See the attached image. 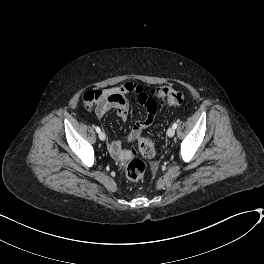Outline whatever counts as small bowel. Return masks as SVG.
Instances as JSON below:
<instances>
[{
  "mask_svg": "<svg viewBox=\"0 0 264 264\" xmlns=\"http://www.w3.org/2000/svg\"><path fill=\"white\" fill-rule=\"evenodd\" d=\"M144 92V87L134 81L126 82L122 85L98 89L85 95L87 106L93 107L98 118L103 117L112 108L116 110L117 116L126 120L129 115V104L127 97L131 94ZM148 109V108H147ZM157 112V105L148 109L147 117L141 122L143 126L152 124ZM139 137V128L135 125L134 129L128 134L125 140H111L107 142V150L111 156L118 160H125L133 155L132 151L123 149L124 141H133Z\"/></svg>",
  "mask_w": 264,
  "mask_h": 264,
  "instance_id": "c3829d8e",
  "label": "small bowel"
}]
</instances>
